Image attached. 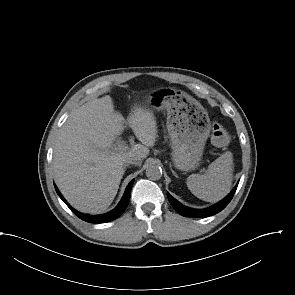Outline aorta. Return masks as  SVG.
Listing matches in <instances>:
<instances>
[{
	"label": "aorta",
	"mask_w": 295,
	"mask_h": 295,
	"mask_svg": "<svg viewBox=\"0 0 295 295\" xmlns=\"http://www.w3.org/2000/svg\"><path fill=\"white\" fill-rule=\"evenodd\" d=\"M146 176L151 180H159L162 177V169L157 164H151L146 169Z\"/></svg>",
	"instance_id": "762f6f07"
}]
</instances>
